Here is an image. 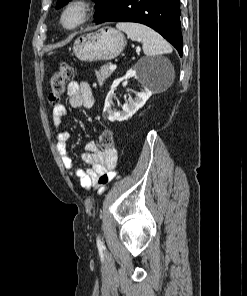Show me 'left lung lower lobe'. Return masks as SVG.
I'll list each match as a JSON object with an SVG mask.
<instances>
[{
	"label": "left lung lower lobe",
	"instance_id": "1",
	"mask_svg": "<svg viewBox=\"0 0 247 296\" xmlns=\"http://www.w3.org/2000/svg\"><path fill=\"white\" fill-rule=\"evenodd\" d=\"M179 0H112L97 18L103 22H137L145 24L169 41L182 56Z\"/></svg>",
	"mask_w": 247,
	"mask_h": 296
}]
</instances>
